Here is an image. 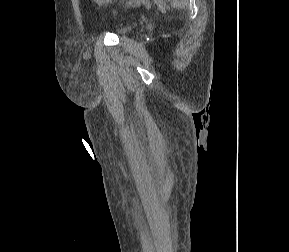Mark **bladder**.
<instances>
[{
    "mask_svg": "<svg viewBox=\"0 0 289 252\" xmlns=\"http://www.w3.org/2000/svg\"><path fill=\"white\" fill-rule=\"evenodd\" d=\"M128 31H129V28H128V27H122V28H119V29L116 30V32H117L118 34H125V33H127Z\"/></svg>",
    "mask_w": 289,
    "mask_h": 252,
    "instance_id": "31cf9c89",
    "label": "bladder"
}]
</instances>
